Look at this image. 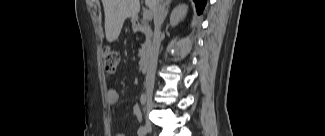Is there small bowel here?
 <instances>
[{
	"label": "small bowel",
	"mask_w": 325,
	"mask_h": 136,
	"mask_svg": "<svg viewBox=\"0 0 325 136\" xmlns=\"http://www.w3.org/2000/svg\"><path fill=\"white\" fill-rule=\"evenodd\" d=\"M118 100H119L118 92L113 88L108 89L106 92L107 104L113 105V104L117 103ZM131 112L137 121H139L141 119L142 112H141L140 107L136 103L131 105ZM118 136H123V134H118Z\"/></svg>",
	"instance_id": "small-bowel-1"
}]
</instances>
